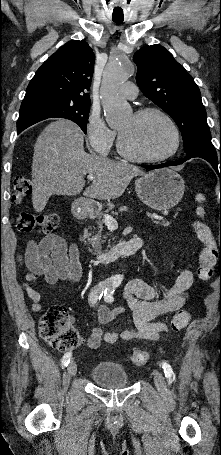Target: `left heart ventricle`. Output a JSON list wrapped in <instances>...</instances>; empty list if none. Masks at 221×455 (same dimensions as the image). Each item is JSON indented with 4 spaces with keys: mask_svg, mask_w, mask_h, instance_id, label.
<instances>
[{
    "mask_svg": "<svg viewBox=\"0 0 221 455\" xmlns=\"http://www.w3.org/2000/svg\"><path fill=\"white\" fill-rule=\"evenodd\" d=\"M126 149L141 156H158L170 151L173 135L167 123L157 115L125 119L118 127Z\"/></svg>",
    "mask_w": 221,
    "mask_h": 455,
    "instance_id": "left-heart-ventricle-1",
    "label": "left heart ventricle"
}]
</instances>
